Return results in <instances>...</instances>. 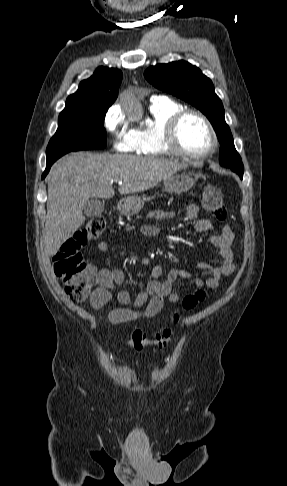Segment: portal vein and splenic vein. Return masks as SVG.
<instances>
[{
    "mask_svg": "<svg viewBox=\"0 0 287 486\" xmlns=\"http://www.w3.org/2000/svg\"><path fill=\"white\" fill-rule=\"evenodd\" d=\"M116 182H118V184H120V185L122 184V180H118Z\"/></svg>",
    "mask_w": 287,
    "mask_h": 486,
    "instance_id": "portal-vein-and-splenic-vein-1",
    "label": "portal vein and splenic vein"
}]
</instances>
